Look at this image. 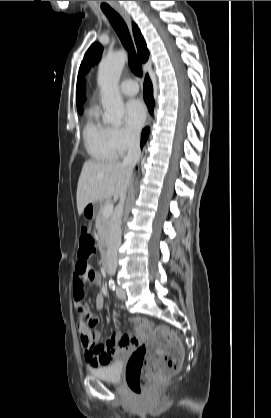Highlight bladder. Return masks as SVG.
Here are the masks:
<instances>
[{
	"label": "bladder",
	"mask_w": 271,
	"mask_h": 418,
	"mask_svg": "<svg viewBox=\"0 0 271 418\" xmlns=\"http://www.w3.org/2000/svg\"><path fill=\"white\" fill-rule=\"evenodd\" d=\"M123 364L121 361H112L101 367L90 369L91 375L110 383H118L121 379Z\"/></svg>",
	"instance_id": "bladder-1"
}]
</instances>
